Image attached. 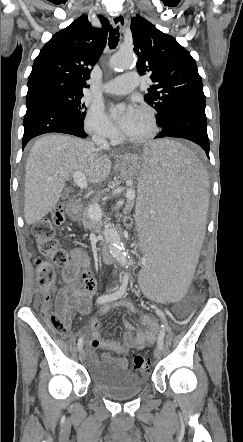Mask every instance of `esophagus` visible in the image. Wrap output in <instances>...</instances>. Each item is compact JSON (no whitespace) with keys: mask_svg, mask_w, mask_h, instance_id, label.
Segmentation results:
<instances>
[{"mask_svg":"<svg viewBox=\"0 0 243 442\" xmlns=\"http://www.w3.org/2000/svg\"><path fill=\"white\" fill-rule=\"evenodd\" d=\"M125 22V17L121 13L114 15L112 18V25L114 28L119 27L120 29H123L125 27Z\"/></svg>","mask_w":243,"mask_h":442,"instance_id":"obj_1","label":"esophagus"}]
</instances>
